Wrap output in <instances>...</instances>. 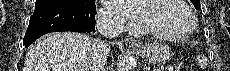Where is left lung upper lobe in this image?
I'll use <instances>...</instances> for the list:
<instances>
[{"label": "left lung upper lobe", "mask_w": 230, "mask_h": 71, "mask_svg": "<svg viewBox=\"0 0 230 71\" xmlns=\"http://www.w3.org/2000/svg\"><path fill=\"white\" fill-rule=\"evenodd\" d=\"M191 2L194 4L195 8H200V0H191Z\"/></svg>", "instance_id": "5c2ea615"}]
</instances>
